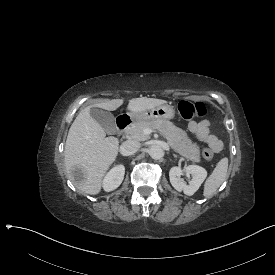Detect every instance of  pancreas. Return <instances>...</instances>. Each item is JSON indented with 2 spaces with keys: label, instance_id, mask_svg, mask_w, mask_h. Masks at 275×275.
I'll use <instances>...</instances> for the list:
<instances>
[{
  "label": "pancreas",
  "instance_id": "obj_1",
  "mask_svg": "<svg viewBox=\"0 0 275 275\" xmlns=\"http://www.w3.org/2000/svg\"><path fill=\"white\" fill-rule=\"evenodd\" d=\"M157 129L167 139L169 145L180 155L194 161H200V150L193 144L182 129L176 127L172 122L165 119H157L150 122H135L125 130V133L132 139L144 141L149 135L144 134V129Z\"/></svg>",
  "mask_w": 275,
  "mask_h": 275
}]
</instances>
